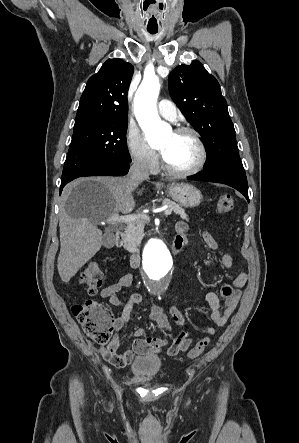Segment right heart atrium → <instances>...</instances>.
<instances>
[{"mask_svg":"<svg viewBox=\"0 0 299 443\" xmlns=\"http://www.w3.org/2000/svg\"><path fill=\"white\" fill-rule=\"evenodd\" d=\"M125 144L132 162L146 171L155 170L158 158L155 151L148 146L139 128L129 125L125 133Z\"/></svg>","mask_w":299,"mask_h":443,"instance_id":"d8ad5b80","label":"right heart atrium"}]
</instances>
